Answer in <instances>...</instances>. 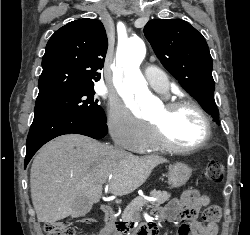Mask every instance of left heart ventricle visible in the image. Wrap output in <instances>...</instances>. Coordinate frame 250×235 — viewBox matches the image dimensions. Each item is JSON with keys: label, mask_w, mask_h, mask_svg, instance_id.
I'll list each match as a JSON object with an SVG mask.
<instances>
[{"label": "left heart ventricle", "mask_w": 250, "mask_h": 235, "mask_svg": "<svg viewBox=\"0 0 250 235\" xmlns=\"http://www.w3.org/2000/svg\"><path fill=\"white\" fill-rule=\"evenodd\" d=\"M152 123H162L168 138L177 145L189 146L201 140L204 126L201 116L190 107H183L167 116L164 107L149 118Z\"/></svg>", "instance_id": "b2bd125f"}]
</instances>
